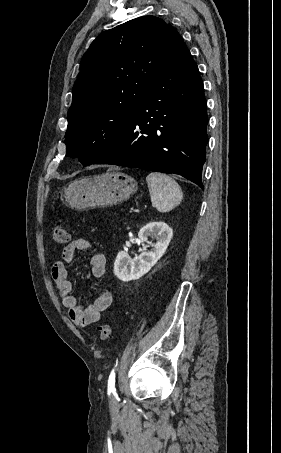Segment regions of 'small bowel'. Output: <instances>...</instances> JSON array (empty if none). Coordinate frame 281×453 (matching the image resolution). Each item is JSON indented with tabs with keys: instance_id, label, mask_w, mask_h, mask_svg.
I'll list each match as a JSON object with an SVG mask.
<instances>
[{
	"instance_id": "small-bowel-1",
	"label": "small bowel",
	"mask_w": 281,
	"mask_h": 453,
	"mask_svg": "<svg viewBox=\"0 0 281 453\" xmlns=\"http://www.w3.org/2000/svg\"><path fill=\"white\" fill-rule=\"evenodd\" d=\"M90 250V241L86 238H78L66 245L62 252V260L55 261L51 267V277L55 281L62 303L67 311L68 318L75 325H88L97 323L102 312L107 309L112 301L113 294L102 289L97 291L96 299L88 304L81 305L72 294V282L68 276L66 263L72 261L76 253H86ZM89 272L91 277L99 278L106 274L105 256L94 253L90 257Z\"/></svg>"
}]
</instances>
